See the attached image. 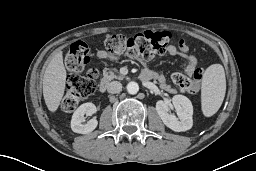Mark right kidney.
Segmentation results:
<instances>
[{
    "mask_svg": "<svg viewBox=\"0 0 256 171\" xmlns=\"http://www.w3.org/2000/svg\"><path fill=\"white\" fill-rule=\"evenodd\" d=\"M97 111L96 106L93 103L87 102L80 105L73 113L71 119V129L75 133L88 134L92 132L98 125L96 118H92L86 124L84 115H92Z\"/></svg>",
    "mask_w": 256,
    "mask_h": 171,
    "instance_id": "right-kidney-1",
    "label": "right kidney"
}]
</instances>
